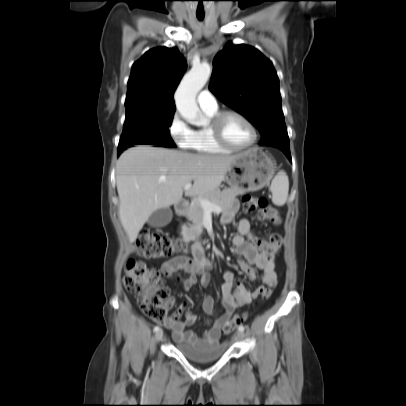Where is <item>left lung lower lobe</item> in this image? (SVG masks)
Returning a JSON list of instances; mask_svg holds the SVG:
<instances>
[{
    "mask_svg": "<svg viewBox=\"0 0 406 406\" xmlns=\"http://www.w3.org/2000/svg\"><path fill=\"white\" fill-rule=\"evenodd\" d=\"M277 148H279L280 150H282L285 154H286V156L288 157V159L290 160V161H292V159H291V155H290V149H289V147H277Z\"/></svg>",
    "mask_w": 406,
    "mask_h": 406,
    "instance_id": "obj_1",
    "label": "left lung lower lobe"
}]
</instances>
